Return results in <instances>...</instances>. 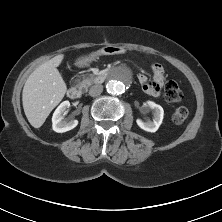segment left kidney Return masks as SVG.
I'll return each mask as SVG.
<instances>
[{
    "instance_id": "obj_1",
    "label": "left kidney",
    "mask_w": 222,
    "mask_h": 222,
    "mask_svg": "<svg viewBox=\"0 0 222 222\" xmlns=\"http://www.w3.org/2000/svg\"><path fill=\"white\" fill-rule=\"evenodd\" d=\"M145 109L150 108L154 110V118L153 121H147V122H143L140 119L136 120L137 125L147 131V132H156L159 128V126L162 123L163 120V115H164V110L163 108L152 102V101H148L147 103L144 104L143 106Z\"/></svg>"
}]
</instances>
